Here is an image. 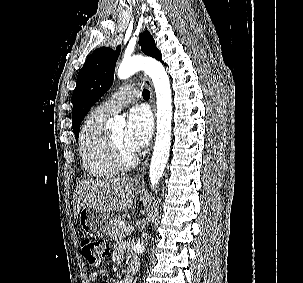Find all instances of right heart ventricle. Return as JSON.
<instances>
[{"instance_id":"1","label":"right heart ventricle","mask_w":303,"mask_h":283,"mask_svg":"<svg viewBox=\"0 0 303 283\" xmlns=\"http://www.w3.org/2000/svg\"><path fill=\"white\" fill-rule=\"evenodd\" d=\"M109 115L95 108L83 122L79 134V153L84 170L94 179H108L118 169L114 165L107 141Z\"/></svg>"}]
</instances>
